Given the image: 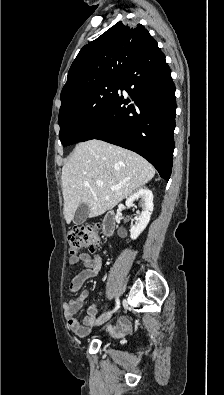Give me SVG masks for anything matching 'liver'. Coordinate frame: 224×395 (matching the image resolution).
<instances>
[{
	"label": "liver",
	"mask_w": 224,
	"mask_h": 395,
	"mask_svg": "<svg viewBox=\"0 0 224 395\" xmlns=\"http://www.w3.org/2000/svg\"><path fill=\"white\" fill-rule=\"evenodd\" d=\"M155 175L154 167L140 155L101 140L76 145L62 168L64 217L73 220L80 203L89 206V217L104 214ZM102 181L99 187L96 182ZM113 186H121L111 190Z\"/></svg>",
	"instance_id": "liver-1"
}]
</instances>
